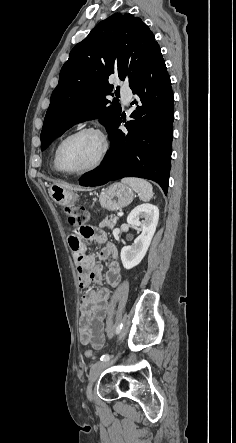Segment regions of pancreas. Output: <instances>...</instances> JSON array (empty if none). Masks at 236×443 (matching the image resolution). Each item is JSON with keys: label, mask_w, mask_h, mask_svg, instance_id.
Instances as JSON below:
<instances>
[{"label": "pancreas", "mask_w": 236, "mask_h": 443, "mask_svg": "<svg viewBox=\"0 0 236 443\" xmlns=\"http://www.w3.org/2000/svg\"><path fill=\"white\" fill-rule=\"evenodd\" d=\"M118 217L116 216H110V218H105L100 224L99 226L104 228L107 227L108 229H113L118 221Z\"/></svg>", "instance_id": "pancreas-1"}]
</instances>
